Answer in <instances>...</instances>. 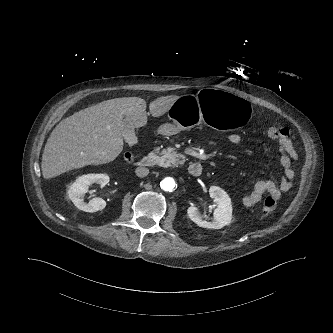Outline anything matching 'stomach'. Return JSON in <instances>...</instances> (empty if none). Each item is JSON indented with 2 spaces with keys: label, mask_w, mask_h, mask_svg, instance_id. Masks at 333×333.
<instances>
[{
  "label": "stomach",
  "mask_w": 333,
  "mask_h": 333,
  "mask_svg": "<svg viewBox=\"0 0 333 333\" xmlns=\"http://www.w3.org/2000/svg\"><path fill=\"white\" fill-rule=\"evenodd\" d=\"M172 123L162 124L158 128L161 135H175L190 128L198 115L217 131H226L245 125L251 116L248 101L240 95L224 93L216 88H207L198 96L179 97L170 107Z\"/></svg>",
  "instance_id": "obj_1"
}]
</instances>
